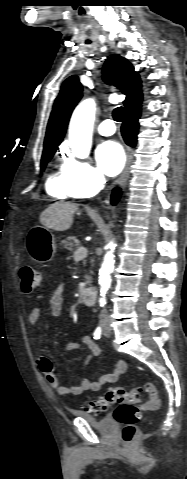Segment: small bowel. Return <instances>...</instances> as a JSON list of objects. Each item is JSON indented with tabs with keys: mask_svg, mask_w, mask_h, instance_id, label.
Listing matches in <instances>:
<instances>
[{
	"mask_svg": "<svg viewBox=\"0 0 187 479\" xmlns=\"http://www.w3.org/2000/svg\"><path fill=\"white\" fill-rule=\"evenodd\" d=\"M49 308L52 317H58L65 305L66 298L63 292L62 285H58L49 296ZM41 317V310L38 307H33L29 313L28 322L32 328L38 326ZM66 351L83 350L87 352L84 360L79 366L78 370L83 371L90 363L93 357H98L101 354L99 345L93 342L89 336H83L80 342H69L64 345ZM39 368L45 375L48 386L60 397L68 395H80L86 390L98 391L103 386L109 383L116 382L120 376L126 372L128 366L123 361H117L113 369L100 376L97 379H84L77 385L64 386L60 383L58 377L53 372V363L48 356H42L39 359Z\"/></svg>",
	"mask_w": 187,
	"mask_h": 479,
	"instance_id": "1",
	"label": "small bowel"
}]
</instances>
